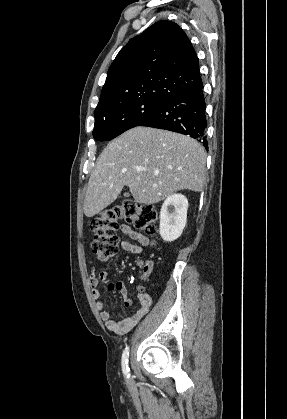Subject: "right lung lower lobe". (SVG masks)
I'll return each instance as SVG.
<instances>
[{
    "instance_id": "right-lung-lower-lobe-1",
    "label": "right lung lower lobe",
    "mask_w": 287,
    "mask_h": 419,
    "mask_svg": "<svg viewBox=\"0 0 287 419\" xmlns=\"http://www.w3.org/2000/svg\"><path fill=\"white\" fill-rule=\"evenodd\" d=\"M206 104L203 84L168 97L162 106L139 126L165 129L197 139L207 147Z\"/></svg>"
}]
</instances>
